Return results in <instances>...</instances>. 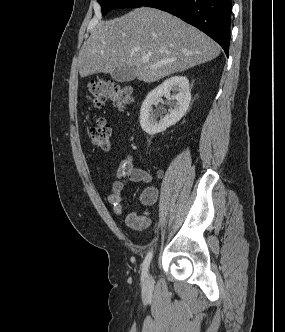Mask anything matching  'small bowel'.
Instances as JSON below:
<instances>
[{
  "instance_id": "obj_1",
  "label": "small bowel",
  "mask_w": 285,
  "mask_h": 332,
  "mask_svg": "<svg viewBox=\"0 0 285 332\" xmlns=\"http://www.w3.org/2000/svg\"><path fill=\"white\" fill-rule=\"evenodd\" d=\"M162 171L157 172V177L162 178ZM152 175L141 168L133 166L132 156H127L120 164L116 176L112 181L111 191L107 195V202L111 205L115 214H121L124 210L122 191L126 182H141L150 184ZM158 190L154 186H148L141 195V201L144 205H152L156 202ZM127 224L135 229L144 228L149 224L147 213H130L126 218Z\"/></svg>"
}]
</instances>
